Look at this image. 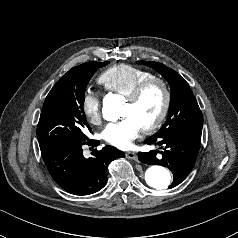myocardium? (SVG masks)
Wrapping results in <instances>:
<instances>
[{"instance_id":"obj_1","label":"myocardium","mask_w":238,"mask_h":238,"mask_svg":"<svg viewBox=\"0 0 238 238\" xmlns=\"http://www.w3.org/2000/svg\"><path fill=\"white\" fill-rule=\"evenodd\" d=\"M154 85H158L162 89L163 102H162L161 109L158 115L156 116V118L152 122H150L149 124L141 128V130L145 133L151 132L155 130L156 128H158L168 114L170 103H171V92L167 82L159 77H151L141 82L133 90V92L129 96L126 97V102H128L129 104L131 105L137 104L140 101V99L143 97L145 92Z\"/></svg>"}]
</instances>
